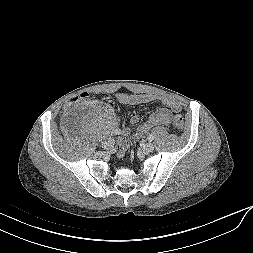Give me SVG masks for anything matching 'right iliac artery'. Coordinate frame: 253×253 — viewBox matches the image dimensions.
Returning <instances> with one entry per match:
<instances>
[{
	"instance_id": "obj_1",
	"label": "right iliac artery",
	"mask_w": 253,
	"mask_h": 253,
	"mask_svg": "<svg viewBox=\"0 0 253 253\" xmlns=\"http://www.w3.org/2000/svg\"><path fill=\"white\" fill-rule=\"evenodd\" d=\"M121 133H122V131L117 127V125H116V127H114L112 129V134H114V135H119Z\"/></svg>"
}]
</instances>
